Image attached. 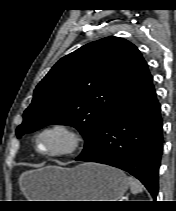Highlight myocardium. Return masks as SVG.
Wrapping results in <instances>:
<instances>
[{
    "label": "myocardium",
    "instance_id": "f54148a6",
    "mask_svg": "<svg viewBox=\"0 0 176 211\" xmlns=\"http://www.w3.org/2000/svg\"><path fill=\"white\" fill-rule=\"evenodd\" d=\"M48 134H59L65 138L63 146L43 150L40 148V139ZM82 144L81 134L71 125L63 122H53L39 128L34 136V147L36 152L43 157H63L74 154Z\"/></svg>",
    "mask_w": 176,
    "mask_h": 211
}]
</instances>
